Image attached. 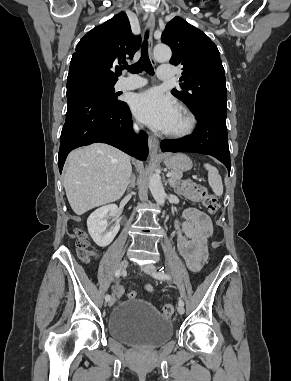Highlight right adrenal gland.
<instances>
[{
	"mask_svg": "<svg viewBox=\"0 0 291 381\" xmlns=\"http://www.w3.org/2000/svg\"><path fill=\"white\" fill-rule=\"evenodd\" d=\"M134 187H135V176L132 175L131 180H130L129 185H128V190L130 188H134Z\"/></svg>",
	"mask_w": 291,
	"mask_h": 381,
	"instance_id": "right-adrenal-gland-1",
	"label": "right adrenal gland"
}]
</instances>
